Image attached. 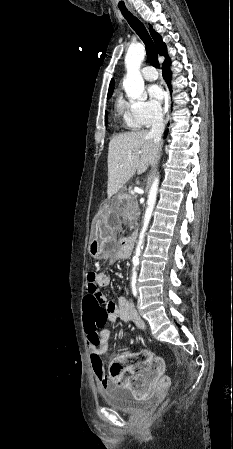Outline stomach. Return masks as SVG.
<instances>
[{"instance_id":"0dacf381","label":"stomach","mask_w":233,"mask_h":449,"mask_svg":"<svg viewBox=\"0 0 233 449\" xmlns=\"http://www.w3.org/2000/svg\"><path fill=\"white\" fill-rule=\"evenodd\" d=\"M121 195L115 196L112 201H100L99 209L104 212L96 214V240L91 241L89 253L97 259L114 260L117 256L118 245L112 235L113 227H118L121 220V202L117 201Z\"/></svg>"}]
</instances>
